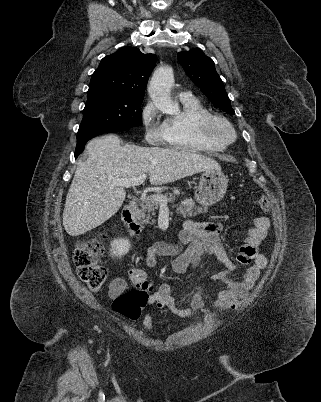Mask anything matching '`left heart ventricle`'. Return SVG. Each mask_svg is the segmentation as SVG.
<instances>
[{
    "instance_id": "b2bd125f",
    "label": "left heart ventricle",
    "mask_w": 321,
    "mask_h": 402,
    "mask_svg": "<svg viewBox=\"0 0 321 402\" xmlns=\"http://www.w3.org/2000/svg\"><path fill=\"white\" fill-rule=\"evenodd\" d=\"M215 131L221 136H228V130L221 124H217L215 127Z\"/></svg>"
}]
</instances>
